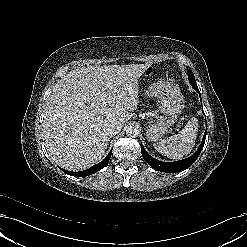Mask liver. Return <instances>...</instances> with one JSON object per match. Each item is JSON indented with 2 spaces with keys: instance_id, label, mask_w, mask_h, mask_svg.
<instances>
[{
  "instance_id": "1",
  "label": "liver",
  "mask_w": 247,
  "mask_h": 247,
  "mask_svg": "<svg viewBox=\"0 0 247 247\" xmlns=\"http://www.w3.org/2000/svg\"><path fill=\"white\" fill-rule=\"evenodd\" d=\"M150 64L88 66L66 74L52 89L43 120L48 156L57 165L84 170L106 149L105 128L122 126L138 107V80Z\"/></svg>"
}]
</instances>
